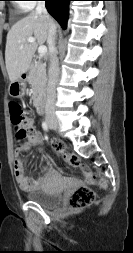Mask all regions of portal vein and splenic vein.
<instances>
[{
    "label": "portal vein and splenic vein",
    "instance_id": "obj_1",
    "mask_svg": "<svg viewBox=\"0 0 133 253\" xmlns=\"http://www.w3.org/2000/svg\"><path fill=\"white\" fill-rule=\"evenodd\" d=\"M28 42H35V38L34 37H29L27 39ZM38 53L40 57H43L46 53H47V47L46 46H40L38 48Z\"/></svg>",
    "mask_w": 133,
    "mask_h": 253
}]
</instances>
